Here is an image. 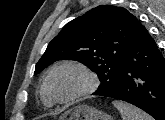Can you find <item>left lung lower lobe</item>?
Returning <instances> with one entry per match:
<instances>
[{"mask_svg": "<svg viewBox=\"0 0 165 120\" xmlns=\"http://www.w3.org/2000/svg\"><path fill=\"white\" fill-rule=\"evenodd\" d=\"M105 96L131 103L155 120H165V59L147 30L125 57L120 84Z\"/></svg>", "mask_w": 165, "mask_h": 120, "instance_id": "obj_1", "label": "left lung lower lobe"}]
</instances>
